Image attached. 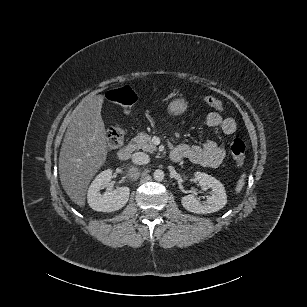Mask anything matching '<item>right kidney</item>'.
<instances>
[{
  "label": "right kidney",
  "instance_id": "1",
  "mask_svg": "<svg viewBox=\"0 0 307 307\" xmlns=\"http://www.w3.org/2000/svg\"><path fill=\"white\" fill-rule=\"evenodd\" d=\"M112 178V170L102 171L91 183L87 200L89 206L99 212H112L121 209L126 205L129 199L130 190L128 187H119L112 190L110 181ZM107 188L103 194L100 193L102 188Z\"/></svg>",
  "mask_w": 307,
  "mask_h": 307
}]
</instances>
